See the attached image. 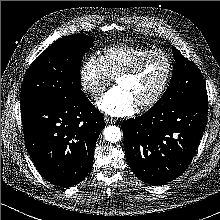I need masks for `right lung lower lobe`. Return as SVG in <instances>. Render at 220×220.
<instances>
[{
  "mask_svg": "<svg viewBox=\"0 0 220 220\" xmlns=\"http://www.w3.org/2000/svg\"><path fill=\"white\" fill-rule=\"evenodd\" d=\"M21 117L27 151L42 177L63 188L84 180L104 128L102 114L85 94L21 104Z\"/></svg>",
  "mask_w": 220,
  "mask_h": 220,
  "instance_id": "1",
  "label": "right lung lower lobe"
}]
</instances>
